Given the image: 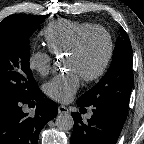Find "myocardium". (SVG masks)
<instances>
[{
	"instance_id": "myocardium-1",
	"label": "myocardium",
	"mask_w": 144,
	"mask_h": 144,
	"mask_svg": "<svg viewBox=\"0 0 144 144\" xmlns=\"http://www.w3.org/2000/svg\"><path fill=\"white\" fill-rule=\"evenodd\" d=\"M93 32H99L104 36L106 40L107 50H106L104 60L102 64L98 67V69L90 75L83 76V79L87 82H92L99 79L105 73L112 60L113 53H114V43L110 32L105 27L100 25H93L89 28H86L85 30L81 31L78 34V36L72 43L71 47L67 51L68 55L77 53L81 49L82 44L87 38V36Z\"/></svg>"
}]
</instances>
